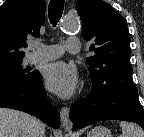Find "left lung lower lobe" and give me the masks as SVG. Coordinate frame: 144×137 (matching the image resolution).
<instances>
[{"instance_id":"1","label":"left lung lower lobe","mask_w":144,"mask_h":137,"mask_svg":"<svg viewBox=\"0 0 144 137\" xmlns=\"http://www.w3.org/2000/svg\"><path fill=\"white\" fill-rule=\"evenodd\" d=\"M73 130L103 120H123L139 124L144 130V110L137 89L119 91H91L75 101L70 109Z\"/></svg>"}]
</instances>
